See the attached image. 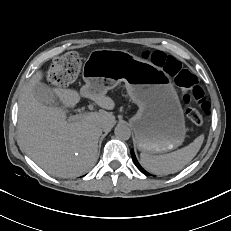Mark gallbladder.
Masks as SVG:
<instances>
[{"mask_svg": "<svg viewBox=\"0 0 231 231\" xmlns=\"http://www.w3.org/2000/svg\"><path fill=\"white\" fill-rule=\"evenodd\" d=\"M33 93L35 98L45 105H57L59 102L53 90L43 83L36 84Z\"/></svg>", "mask_w": 231, "mask_h": 231, "instance_id": "1", "label": "gallbladder"}]
</instances>
